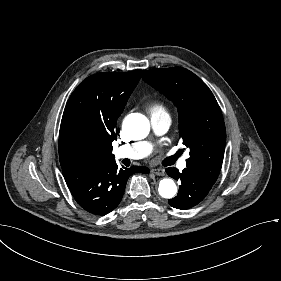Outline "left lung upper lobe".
I'll return each instance as SVG.
<instances>
[{"mask_svg":"<svg viewBox=\"0 0 281 281\" xmlns=\"http://www.w3.org/2000/svg\"><path fill=\"white\" fill-rule=\"evenodd\" d=\"M142 78L177 106L180 136L190 149L187 167L215 182L223 162L226 130L210 89L194 73L179 67L143 70Z\"/></svg>","mask_w":281,"mask_h":281,"instance_id":"1","label":"left lung upper lobe"}]
</instances>
